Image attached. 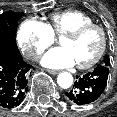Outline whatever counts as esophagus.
Returning a JSON list of instances; mask_svg holds the SVG:
<instances>
[{"mask_svg": "<svg viewBox=\"0 0 117 117\" xmlns=\"http://www.w3.org/2000/svg\"><path fill=\"white\" fill-rule=\"evenodd\" d=\"M47 72H48L49 74H52V75H56V74L59 73V71H57V70H47Z\"/></svg>", "mask_w": 117, "mask_h": 117, "instance_id": "obj_1", "label": "esophagus"}]
</instances>
